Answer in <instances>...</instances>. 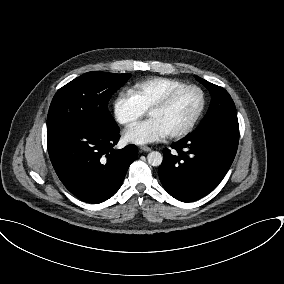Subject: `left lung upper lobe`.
Returning <instances> with one entry per match:
<instances>
[{
    "instance_id": "5c2ea615",
    "label": "left lung upper lobe",
    "mask_w": 284,
    "mask_h": 284,
    "mask_svg": "<svg viewBox=\"0 0 284 284\" xmlns=\"http://www.w3.org/2000/svg\"><path fill=\"white\" fill-rule=\"evenodd\" d=\"M194 77L209 90L212 96L207 114L194 131H202L222 124H238L235 105L228 92L196 75Z\"/></svg>"
}]
</instances>
